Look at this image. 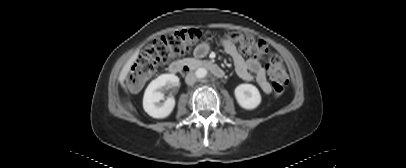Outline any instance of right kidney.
Returning <instances> with one entry per match:
<instances>
[{
    "mask_svg": "<svg viewBox=\"0 0 406 168\" xmlns=\"http://www.w3.org/2000/svg\"><path fill=\"white\" fill-rule=\"evenodd\" d=\"M178 83L179 78L174 74H162L153 80L144 93L143 108L145 112L158 119L169 116L175 107V100L169 97L164 103H160L164 99V94L159 89L166 85L175 87Z\"/></svg>",
    "mask_w": 406,
    "mask_h": 168,
    "instance_id": "right-kidney-1",
    "label": "right kidney"
}]
</instances>
